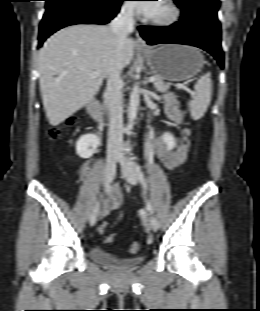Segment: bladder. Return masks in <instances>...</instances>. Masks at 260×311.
I'll return each mask as SVG.
<instances>
[{
    "label": "bladder",
    "instance_id": "bladder-1",
    "mask_svg": "<svg viewBox=\"0 0 260 311\" xmlns=\"http://www.w3.org/2000/svg\"><path fill=\"white\" fill-rule=\"evenodd\" d=\"M90 257L94 262L114 270L133 269L140 265L144 260L142 256L121 258L97 246L91 248Z\"/></svg>",
    "mask_w": 260,
    "mask_h": 311
}]
</instances>
